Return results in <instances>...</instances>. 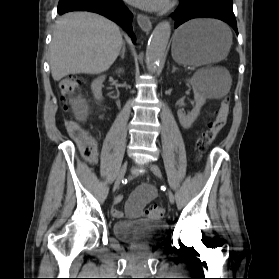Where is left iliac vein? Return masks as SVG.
<instances>
[{
  "instance_id": "left-iliac-vein-1",
  "label": "left iliac vein",
  "mask_w": 279,
  "mask_h": 279,
  "mask_svg": "<svg viewBox=\"0 0 279 279\" xmlns=\"http://www.w3.org/2000/svg\"><path fill=\"white\" fill-rule=\"evenodd\" d=\"M149 167L157 177L162 178V172L156 164L150 163ZM168 198H169L170 203L174 204L175 197H174V194L170 190L168 191Z\"/></svg>"
}]
</instances>
